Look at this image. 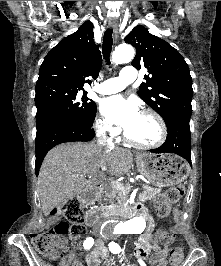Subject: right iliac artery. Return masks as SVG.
<instances>
[{
  "label": "right iliac artery",
  "instance_id": "82829eb1",
  "mask_svg": "<svg viewBox=\"0 0 221 266\" xmlns=\"http://www.w3.org/2000/svg\"><path fill=\"white\" fill-rule=\"evenodd\" d=\"M93 244H94V239L89 237V238H86V240L84 241L83 247L84 249L88 250L93 246Z\"/></svg>",
  "mask_w": 221,
  "mask_h": 266
}]
</instances>
